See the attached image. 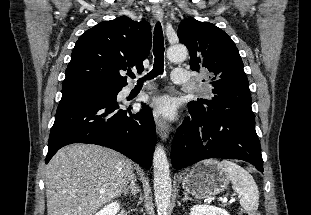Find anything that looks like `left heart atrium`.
<instances>
[{"label":"left heart atrium","mask_w":311,"mask_h":215,"mask_svg":"<svg viewBox=\"0 0 311 215\" xmlns=\"http://www.w3.org/2000/svg\"><path fill=\"white\" fill-rule=\"evenodd\" d=\"M150 107L155 115L162 116L166 119H173L177 111L175 102L168 96L155 99Z\"/></svg>","instance_id":"left-heart-atrium-1"}]
</instances>
